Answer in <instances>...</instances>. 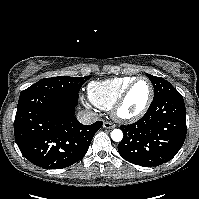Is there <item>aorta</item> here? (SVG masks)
<instances>
[{
	"label": "aorta",
	"mask_w": 199,
	"mask_h": 199,
	"mask_svg": "<svg viewBox=\"0 0 199 199\" xmlns=\"http://www.w3.org/2000/svg\"><path fill=\"white\" fill-rule=\"evenodd\" d=\"M111 139L115 142H120L123 139V132L120 129H114L111 132Z\"/></svg>",
	"instance_id": "1"
}]
</instances>
